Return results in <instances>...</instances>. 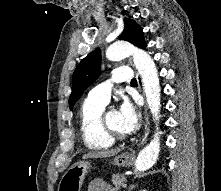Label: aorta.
<instances>
[{"instance_id": "762f6f07", "label": "aorta", "mask_w": 221, "mask_h": 191, "mask_svg": "<svg viewBox=\"0 0 221 191\" xmlns=\"http://www.w3.org/2000/svg\"><path fill=\"white\" fill-rule=\"evenodd\" d=\"M130 55L133 56L134 65L142 78L147 104L153 115V120L157 121L161 106L160 83L157 68L150 55L144 50L122 41L111 44L106 50V57L111 61H119ZM159 134L157 131L151 142L139 153L135 163L137 170H148L156 162L160 152Z\"/></svg>"}]
</instances>
